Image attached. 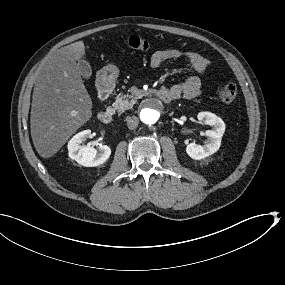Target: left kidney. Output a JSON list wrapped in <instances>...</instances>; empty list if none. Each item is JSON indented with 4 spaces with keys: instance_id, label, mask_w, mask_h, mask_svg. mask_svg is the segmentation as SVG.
Returning a JSON list of instances; mask_svg holds the SVG:
<instances>
[{
    "instance_id": "5707ae66",
    "label": "left kidney",
    "mask_w": 285,
    "mask_h": 285,
    "mask_svg": "<svg viewBox=\"0 0 285 285\" xmlns=\"http://www.w3.org/2000/svg\"><path fill=\"white\" fill-rule=\"evenodd\" d=\"M197 118L204 124L213 127L212 130H207L205 132L207 140L204 145H198L195 142H192L186 147V152L192 159L201 160L212 155L219 149L222 136L225 132V123L220 117L211 112H200L198 113Z\"/></svg>"
}]
</instances>
